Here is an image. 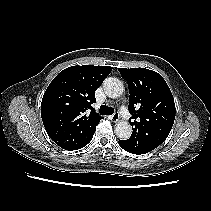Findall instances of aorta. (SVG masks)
<instances>
[{"label":"aorta","mask_w":211,"mask_h":211,"mask_svg":"<svg viewBox=\"0 0 211 211\" xmlns=\"http://www.w3.org/2000/svg\"><path fill=\"white\" fill-rule=\"evenodd\" d=\"M103 88L105 94L109 98H118L123 94L124 86L123 83L115 77H108L103 82ZM115 134L121 140H127L132 134V127L127 121H119L115 125Z\"/></svg>","instance_id":"aorta-1"}]
</instances>
